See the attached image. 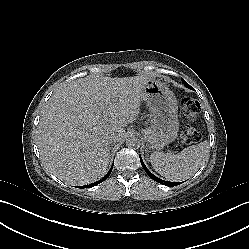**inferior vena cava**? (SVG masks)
I'll return each mask as SVG.
<instances>
[{
    "instance_id": "inferior-vena-cava-1",
    "label": "inferior vena cava",
    "mask_w": 249,
    "mask_h": 249,
    "mask_svg": "<svg viewBox=\"0 0 249 249\" xmlns=\"http://www.w3.org/2000/svg\"><path fill=\"white\" fill-rule=\"evenodd\" d=\"M110 142L112 143V142H117V141H119L120 139L118 138V136H111L110 138Z\"/></svg>"
}]
</instances>
